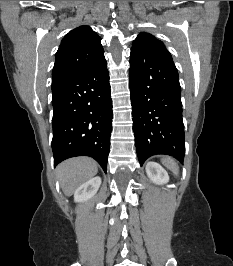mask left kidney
<instances>
[{
  "label": "left kidney",
  "mask_w": 233,
  "mask_h": 266,
  "mask_svg": "<svg viewBox=\"0 0 233 266\" xmlns=\"http://www.w3.org/2000/svg\"><path fill=\"white\" fill-rule=\"evenodd\" d=\"M146 173L150 180L155 184L161 185L169 181L167 172L155 162H149L146 165Z\"/></svg>",
  "instance_id": "5707ae66"
}]
</instances>
